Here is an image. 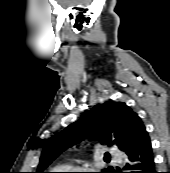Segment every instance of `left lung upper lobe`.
<instances>
[{"label": "left lung upper lobe", "mask_w": 170, "mask_h": 173, "mask_svg": "<svg viewBox=\"0 0 170 173\" xmlns=\"http://www.w3.org/2000/svg\"><path fill=\"white\" fill-rule=\"evenodd\" d=\"M87 137L108 146L116 145L125 153L150 141L140 117L125 103L108 101L97 104L47 141L36 173H45L43 171L56 157ZM113 172V167H108L101 173Z\"/></svg>", "instance_id": "1"}]
</instances>
